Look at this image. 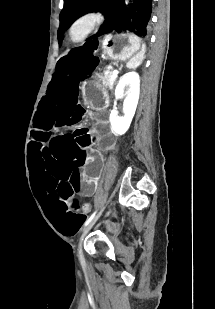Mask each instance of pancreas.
Wrapping results in <instances>:
<instances>
[{
    "mask_svg": "<svg viewBox=\"0 0 215 309\" xmlns=\"http://www.w3.org/2000/svg\"><path fill=\"white\" fill-rule=\"evenodd\" d=\"M112 72H107V70H104L103 76H99V80H101L102 84L104 86H110L112 88L115 80H111Z\"/></svg>",
    "mask_w": 215,
    "mask_h": 309,
    "instance_id": "obj_1",
    "label": "pancreas"
}]
</instances>
